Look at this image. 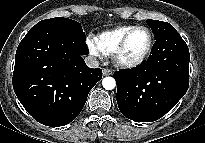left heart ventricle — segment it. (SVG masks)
Returning <instances> with one entry per match:
<instances>
[{"mask_svg": "<svg viewBox=\"0 0 205 143\" xmlns=\"http://www.w3.org/2000/svg\"><path fill=\"white\" fill-rule=\"evenodd\" d=\"M149 37L145 30L139 29L129 37L125 50L121 56L123 61H135L145 52Z\"/></svg>", "mask_w": 205, "mask_h": 143, "instance_id": "obj_1", "label": "left heart ventricle"}]
</instances>
